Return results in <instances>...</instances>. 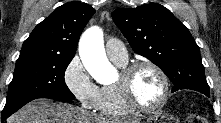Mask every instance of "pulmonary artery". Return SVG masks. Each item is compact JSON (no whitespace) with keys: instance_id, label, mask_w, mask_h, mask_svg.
Here are the masks:
<instances>
[{"instance_id":"obj_1","label":"pulmonary artery","mask_w":221,"mask_h":123,"mask_svg":"<svg viewBox=\"0 0 221 123\" xmlns=\"http://www.w3.org/2000/svg\"><path fill=\"white\" fill-rule=\"evenodd\" d=\"M106 53L113 62L125 65L128 61V53L124 44L115 38H111L106 43Z\"/></svg>"}]
</instances>
